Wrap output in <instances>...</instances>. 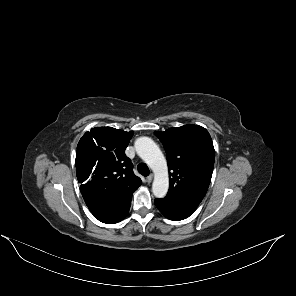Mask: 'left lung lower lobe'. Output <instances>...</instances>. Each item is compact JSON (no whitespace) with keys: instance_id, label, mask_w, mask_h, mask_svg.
<instances>
[{"instance_id":"1","label":"left lung lower lobe","mask_w":296,"mask_h":296,"mask_svg":"<svg viewBox=\"0 0 296 296\" xmlns=\"http://www.w3.org/2000/svg\"><path fill=\"white\" fill-rule=\"evenodd\" d=\"M154 203L165 217L173 221L186 219L197 208V207L175 206V205L164 203L160 199H155Z\"/></svg>"}]
</instances>
